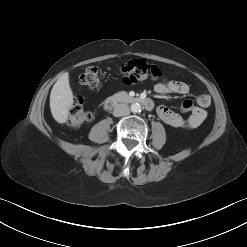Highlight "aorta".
Segmentation results:
<instances>
[{
    "instance_id": "obj_1",
    "label": "aorta",
    "mask_w": 247,
    "mask_h": 247,
    "mask_svg": "<svg viewBox=\"0 0 247 247\" xmlns=\"http://www.w3.org/2000/svg\"><path fill=\"white\" fill-rule=\"evenodd\" d=\"M131 111L133 113H138V112H141V106L139 103H133L130 107Z\"/></svg>"
}]
</instances>
